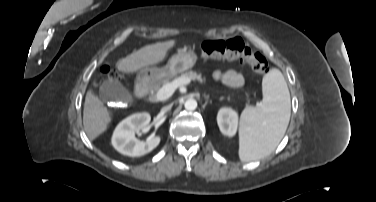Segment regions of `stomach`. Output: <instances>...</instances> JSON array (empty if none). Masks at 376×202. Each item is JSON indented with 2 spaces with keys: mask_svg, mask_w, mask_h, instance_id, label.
I'll return each mask as SVG.
<instances>
[{
  "mask_svg": "<svg viewBox=\"0 0 376 202\" xmlns=\"http://www.w3.org/2000/svg\"><path fill=\"white\" fill-rule=\"evenodd\" d=\"M196 61L197 54L194 50H180L169 59L165 67H145L140 70L138 76H141L148 81H157L163 77L174 78L178 74L191 69Z\"/></svg>",
  "mask_w": 376,
  "mask_h": 202,
  "instance_id": "1",
  "label": "stomach"
}]
</instances>
